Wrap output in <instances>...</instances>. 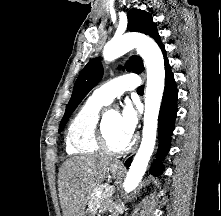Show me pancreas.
Wrapping results in <instances>:
<instances>
[{
    "instance_id": "obj_1",
    "label": "pancreas",
    "mask_w": 221,
    "mask_h": 216,
    "mask_svg": "<svg viewBox=\"0 0 221 216\" xmlns=\"http://www.w3.org/2000/svg\"><path fill=\"white\" fill-rule=\"evenodd\" d=\"M98 190L103 192V194L97 195L96 191H94L93 193H91L90 199L88 202L89 210L93 214H96L98 210H105L109 208L110 197L112 195V192L105 193L104 186L99 187Z\"/></svg>"
}]
</instances>
